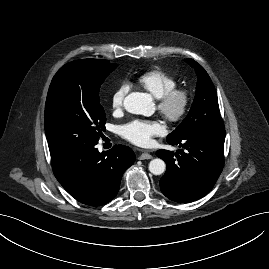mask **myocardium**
Returning <instances> with one entry per match:
<instances>
[{
  "label": "myocardium",
  "instance_id": "f54148a6",
  "mask_svg": "<svg viewBox=\"0 0 269 269\" xmlns=\"http://www.w3.org/2000/svg\"><path fill=\"white\" fill-rule=\"evenodd\" d=\"M190 93L185 88L175 87L157 98V109L170 123H179L190 107Z\"/></svg>",
  "mask_w": 269,
  "mask_h": 269
}]
</instances>
